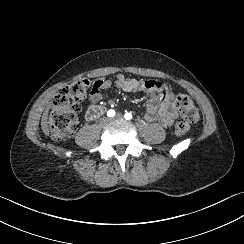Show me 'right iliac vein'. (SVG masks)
Wrapping results in <instances>:
<instances>
[{"mask_svg":"<svg viewBox=\"0 0 244 244\" xmlns=\"http://www.w3.org/2000/svg\"><path fill=\"white\" fill-rule=\"evenodd\" d=\"M109 122H110V118H109V117H103V118H102V121H101L102 124L106 125V124H108Z\"/></svg>","mask_w":244,"mask_h":244,"instance_id":"obj_1","label":"right iliac vein"}]
</instances>
